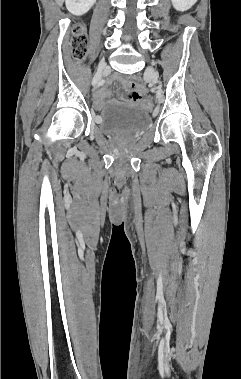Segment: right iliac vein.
<instances>
[{"label": "right iliac vein", "mask_w": 241, "mask_h": 379, "mask_svg": "<svg viewBox=\"0 0 241 379\" xmlns=\"http://www.w3.org/2000/svg\"><path fill=\"white\" fill-rule=\"evenodd\" d=\"M107 69H108V66L105 62H101L99 64L98 70H97V72L93 78V81H92L93 86H96L99 83V81L101 80L103 72L106 71Z\"/></svg>", "instance_id": "obj_1"}]
</instances>
